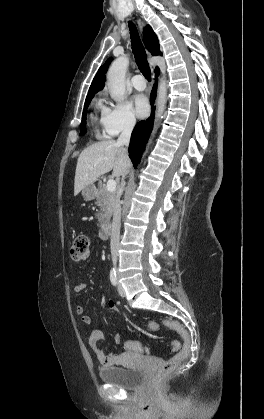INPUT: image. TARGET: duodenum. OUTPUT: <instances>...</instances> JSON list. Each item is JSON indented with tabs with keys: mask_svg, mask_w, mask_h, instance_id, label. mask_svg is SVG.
Listing matches in <instances>:
<instances>
[{
	"mask_svg": "<svg viewBox=\"0 0 264 419\" xmlns=\"http://www.w3.org/2000/svg\"><path fill=\"white\" fill-rule=\"evenodd\" d=\"M112 226L109 223L102 225L100 229V236L102 239H108L111 235Z\"/></svg>",
	"mask_w": 264,
	"mask_h": 419,
	"instance_id": "1",
	"label": "duodenum"
}]
</instances>
